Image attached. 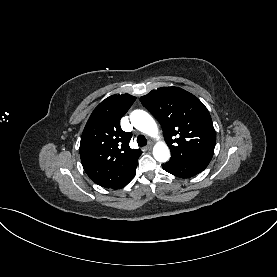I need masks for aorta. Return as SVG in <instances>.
Returning <instances> with one entry per match:
<instances>
[{
    "instance_id": "1",
    "label": "aorta",
    "mask_w": 277,
    "mask_h": 277,
    "mask_svg": "<svg viewBox=\"0 0 277 277\" xmlns=\"http://www.w3.org/2000/svg\"><path fill=\"white\" fill-rule=\"evenodd\" d=\"M131 124L139 131L156 137L158 127L155 120L143 110H134L130 114ZM153 156L159 162H167L170 158V151L164 142H158L153 148Z\"/></svg>"
}]
</instances>
